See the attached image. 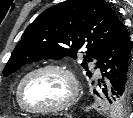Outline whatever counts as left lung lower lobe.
<instances>
[{
    "label": "left lung lower lobe",
    "mask_w": 133,
    "mask_h": 118,
    "mask_svg": "<svg viewBox=\"0 0 133 118\" xmlns=\"http://www.w3.org/2000/svg\"><path fill=\"white\" fill-rule=\"evenodd\" d=\"M96 67H99L102 75L109 79L111 87L108 90L105 82L99 80L106 87L105 95L119 99L127 92L133 96V54L131 51L129 36L122 25L111 42L101 53Z\"/></svg>",
    "instance_id": "obj_1"
}]
</instances>
